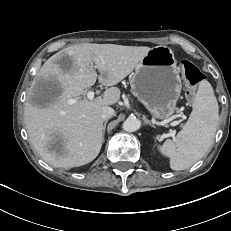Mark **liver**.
Segmentation results:
<instances>
[{
	"label": "liver",
	"instance_id": "6515ba94",
	"mask_svg": "<svg viewBox=\"0 0 231 231\" xmlns=\"http://www.w3.org/2000/svg\"><path fill=\"white\" fill-rule=\"evenodd\" d=\"M152 48L116 44L72 45L51 56L40 68L25 102L24 119L30 141L42 159L54 167L72 168L93 161L102 147V109L117 103L114 87L127 77ZM95 69H98V76ZM98 77L110 87L102 97L89 100L85 91ZM39 81L56 83L50 102L33 105ZM74 100V103H70Z\"/></svg>",
	"mask_w": 231,
	"mask_h": 231
}]
</instances>
